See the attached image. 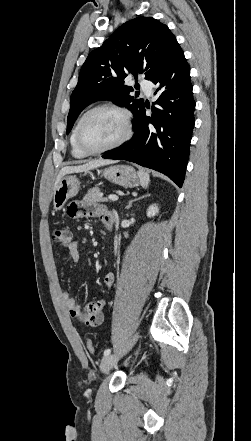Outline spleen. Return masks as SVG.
Masks as SVG:
<instances>
[{
  "mask_svg": "<svg viewBox=\"0 0 251 441\" xmlns=\"http://www.w3.org/2000/svg\"><path fill=\"white\" fill-rule=\"evenodd\" d=\"M138 174L140 177L141 186L143 188H147L150 183V176H149L148 172H146L144 170H139Z\"/></svg>",
  "mask_w": 251,
  "mask_h": 441,
  "instance_id": "obj_1",
  "label": "spleen"
}]
</instances>
